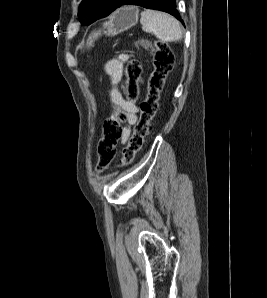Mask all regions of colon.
Here are the masks:
<instances>
[{"instance_id": "1", "label": "colon", "mask_w": 267, "mask_h": 298, "mask_svg": "<svg viewBox=\"0 0 267 298\" xmlns=\"http://www.w3.org/2000/svg\"><path fill=\"white\" fill-rule=\"evenodd\" d=\"M140 45L152 53L153 71L149 78L146 98L141 104L139 120L123 150L122 166L131 164L136 154L143 148L145 138L157 112L160 93L174 64V56L168 44L142 41ZM125 75L127 97L135 101L139 94L140 65L136 61L129 62L125 68ZM124 120L123 114H113L104 124V130L97 146V169L99 171L106 170L116 154Z\"/></svg>"}]
</instances>
